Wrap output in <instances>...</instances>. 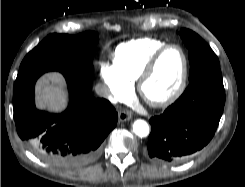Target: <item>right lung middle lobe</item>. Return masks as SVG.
Instances as JSON below:
<instances>
[{
  "label": "right lung middle lobe",
  "instance_id": "dd1d6c3e",
  "mask_svg": "<svg viewBox=\"0 0 245 187\" xmlns=\"http://www.w3.org/2000/svg\"><path fill=\"white\" fill-rule=\"evenodd\" d=\"M97 41L95 32L77 36L50 34L26 55L20 68L32 64H59L92 72Z\"/></svg>",
  "mask_w": 245,
  "mask_h": 187
}]
</instances>
